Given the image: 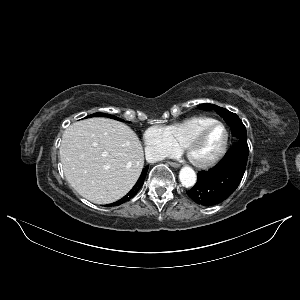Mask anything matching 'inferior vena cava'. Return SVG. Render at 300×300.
<instances>
[{
  "mask_svg": "<svg viewBox=\"0 0 300 300\" xmlns=\"http://www.w3.org/2000/svg\"><path fill=\"white\" fill-rule=\"evenodd\" d=\"M145 154H146V160L150 163H153V162H156V161H159V160L163 159V156L160 153L151 152L149 150H146Z\"/></svg>",
  "mask_w": 300,
  "mask_h": 300,
  "instance_id": "1",
  "label": "inferior vena cava"
}]
</instances>
